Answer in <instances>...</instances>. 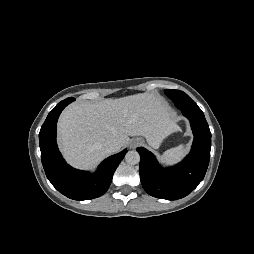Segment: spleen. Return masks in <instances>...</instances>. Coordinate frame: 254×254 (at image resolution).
Instances as JSON below:
<instances>
[{
	"instance_id": "3e777b00",
	"label": "spleen",
	"mask_w": 254,
	"mask_h": 254,
	"mask_svg": "<svg viewBox=\"0 0 254 254\" xmlns=\"http://www.w3.org/2000/svg\"><path fill=\"white\" fill-rule=\"evenodd\" d=\"M187 152V148L184 145L171 148L165 151L161 156L160 160L167 164H173L178 162Z\"/></svg>"
}]
</instances>
